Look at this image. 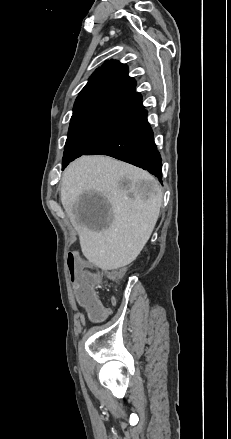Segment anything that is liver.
<instances>
[{
    "label": "liver",
    "instance_id": "6515ba94",
    "mask_svg": "<svg viewBox=\"0 0 231 439\" xmlns=\"http://www.w3.org/2000/svg\"><path fill=\"white\" fill-rule=\"evenodd\" d=\"M129 181L124 189L120 182ZM109 206L100 216L81 213L82 195ZM159 182L147 171L108 156H83L66 168L61 203L77 231L83 255L102 270L132 263L149 240L162 205Z\"/></svg>",
    "mask_w": 231,
    "mask_h": 439
}]
</instances>
